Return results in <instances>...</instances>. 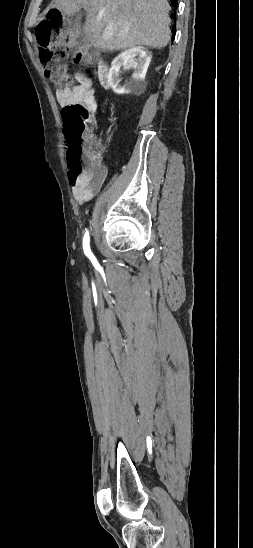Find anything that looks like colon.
<instances>
[{"label":"colon","instance_id":"colon-1","mask_svg":"<svg viewBox=\"0 0 253 548\" xmlns=\"http://www.w3.org/2000/svg\"><path fill=\"white\" fill-rule=\"evenodd\" d=\"M40 58L45 74L59 90L68 89L73 81L63 60L69 55L70 47L65 44L66 31L60 11L50 10L36 28ZM73 59L77 63H88L94 58V51L82 43L74 45ZM65 135L68 144L67 162L72 181L90 175L101 174L102 166L92 157L93 144L86 138L89 111L83 104L63 108Z\"/></svg>","mask_w":253,"mask_h":548}]
</instances>
